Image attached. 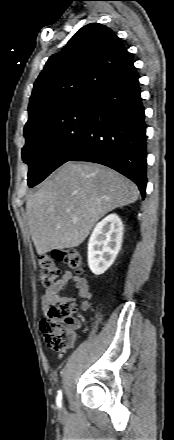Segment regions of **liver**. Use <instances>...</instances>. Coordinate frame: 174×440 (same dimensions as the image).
<instances>
[{
    "label": "liver",
    "mask_w": 174,
    "mask_h": 440,
    "mask_svg": "<svg viewBox=\"0 0 174 440\" xmlns=\"http://www.w3.org/2000/svg\"><path fill=\"white\" fill-rule=\"evenodd\" d=\"M138 196L137 186L113 169L88 162L63 164L27 199L37 253L79 246L101 217Z\"/></svg>",
    "instance_id": "6515ba94"
}]
</instances>
